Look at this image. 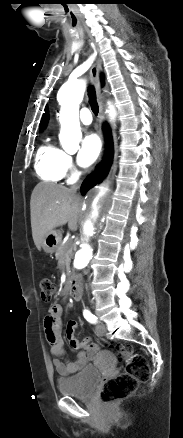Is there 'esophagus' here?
<instances>
[{"mask_svg":"<svg viewBox=\"0 0 183 438\" xmlns=\"http://www.w3.org/2000/svg\"><path fill=\"white\" fill-rule=\"evenodd\" d=\"M101 67H102V62L101 59L98 57L96 59V61L92 64L91 68H90V79L91 82L93 83L95 90H96V94H97V101H98V105H99V114H98V121L100 123V125L103 122L104 119V110H103V102H102V97H101V91H100V72H101ZM101 135H102V140H103V149H102V153L100 156L99 161L102 160L103 154H104V147H105V141L103 139V134L101 131Z\"/></svg>","mask_w":183,"mask_h":438,"instance_id":"1","label":"esophagus"}]
</instances>
